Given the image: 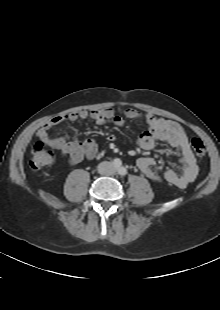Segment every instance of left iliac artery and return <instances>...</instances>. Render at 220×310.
<instances>
[{
	"label": "left iliac artery",
	"instance_id": "left-iliac-artery-1",
	"mask_svg": "<svg viewBox=\"0 0 220 310\" xmlns=\"http://www.w3.org/2000/svg\"><path fill=\"white\" fill-rule=\"evenodd\" d=\"M118 173L121 175V176H125L127 174V169L124 168V167H120L118 169Z\"/></svg>",
	"mask_w": 220,
	"mask_h": 310
}]
</instances>
